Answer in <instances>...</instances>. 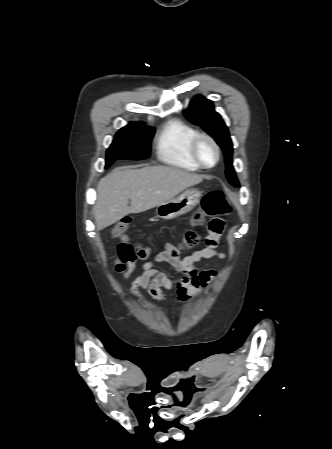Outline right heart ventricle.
<instances>
[{"mask_svg": "<svg viewBox=\"0 0 332 449\" xmlns=\"http://www.w3.org/2000/svg\"><path fill=\"white\" fill-rule=\"evenodd\" d=\"M197 130L181 119H171L160 131L156 153L164 163L184 170L195 171L200 167L190 153V142Z\"/></svg>", "mask_w": 332, "mask_h": 449, "instance_id": "obj_1", "label": "right heart ventricle"}]
</instances>
